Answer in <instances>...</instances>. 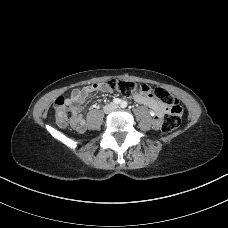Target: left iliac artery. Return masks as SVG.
Segmentation results:
<instances>
[{
  "mask_svg": "<svg viewBox=\"0 0 228 228\" xmlns=\"http://www.w3.org/2000/svg\"><path fill=\"white\" fill-rule=\"evenodd\" d=\"M120 106L122 108H126L127 107V102L126 101H122L121 104H120Z\"/></svg>",
  "mask_w": 228,
  "mask_h": 228,
  "instance_id": "left-iliac-artery-1",
  "label": "left iliac artery"
}]
</instances>
